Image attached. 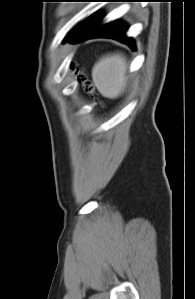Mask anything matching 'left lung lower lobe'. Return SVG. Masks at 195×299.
<instances>
[{
	"instance_id": "left-lung-lower-lobe-1",
	"label": "left lung lower lobe",
	"mask_w": 195,
	"mask_h": 299,
	"mask_svg": "<svg viewBox=\"0 0 195 299\" xmlns=\"http://www.w3.org/2000/svg\"><path fill=\"white\" fill-rule=\"evenodd\" d=\"M99 22L100 17L98 14L85 19L69 32L66 41L76 43L89 38L107 37L124 42L131 48H135L133 40L126 36L128 27L124 23L113 21L99 26Z\"/></svg>"
}]
</instances>
